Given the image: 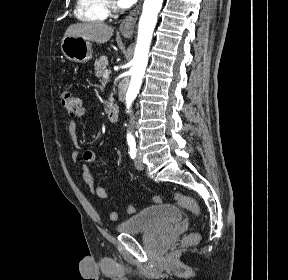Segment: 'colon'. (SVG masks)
I'll return each instance as SVG.
<instances>
[{
	"label": "colon",
	"instance_id": "colon-1",
	"mask_svg": "<svg viewBox=\"0 0 288 280\" xmlns=\"http://www.w3.org/2000/svg\"><path fill=\"white\" fill-rule=\"evenodd\" d=\"M61 103L63 107L67 110V112L71 116H77L80 109H81V101L79 97L74 94L71 91H64L61 95ZM171 199L178 204L180 207L185 208L192 212L196 217H199L201 215V209L199 204L195 199L192 197L180 194V193H174L171 195ZM165 200V197L161 195H157L153 197V201L156 204H161ZM128 213L133 214L136 212V207L134 205H129L127 208ZM109 218L112 221H116L118 219V213L116 211H111L109 213ZM198 234H192L188 237L189 242L196 241L198 239Z\"/></svg>",
	"mask_w": 288,
	"mask_h": 280
}]
</instances>
